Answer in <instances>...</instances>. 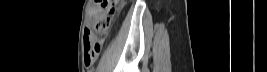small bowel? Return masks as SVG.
<instances>
[{
    "label": "small bowel",
    "mask_w": 267,
    "mask_h": 72,
    "mask_svg": "<svg viewBox=\"0 0 267 72\" xmlns=\"http://www.w3.org/2000/svg\"><path fill=\"white\" fill-rule=\"evenodd\" d=\"M84 39H85V37H84ZM86 49H85V46H84V62H85V64H86V66H90V63L89 62H87V60H86ZM99 55V54H98ZM98 55H97V57H98ZM97 59V58H96Z\"/></svg>",
    "instance_id": "c3829d8e"
}]
</instances>
